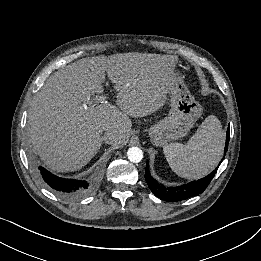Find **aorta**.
Segmentation results:
<instances>
[{"label": "aorta", "mask_w": 261, "mask_h": 261, "mask_svg": "<svg viewBox=\"0 0 261 261\" xmlns=\"http://www.w3.org/2000/svg\"><path fill=\"white\" fill-rule=\"evenodd\" d=\"M128 159L133 163H138L143 159V152L138 147H131L127 151Z\"/></svg>", "instance_id": "1"}]
</instances>
